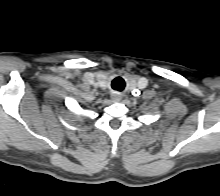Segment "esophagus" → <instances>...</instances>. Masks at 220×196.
<instances>
[{
    "label": "esophagus",
    "mask_w": 220,
    "mask_h": 196,
    "mask_svg": "<svg viewBox=\"0 0 220 196\" xmlns=\"http://www.w3.org/2000/svg\"><path fill=\"white\" fill-rule=\"evenodd\" d=\"M111 99L113 100V102L117 103V102H120L121 96L117 93H113L111 94Z\"/></svg>",
    "instance_id": "1"
}]
</instances>
